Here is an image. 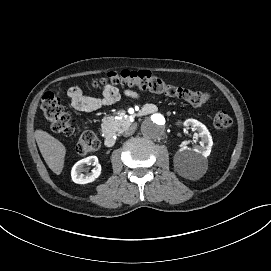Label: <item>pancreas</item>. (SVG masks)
<instances>
[{
  "label": "pancreas",
  "mask_w": 271,
  "mask_h": 271,
  "mask_svg": "<svg viewBox=\"0 0 271 271\" xmlns=\"http://www.w3.org/2000/svg\"><path fill=\"white\" fill-rule=\"evenodd\" d=\"M127 125V120L125 118H120L116 120L113 116L104 117L102 119V129L106 131L115 130L120 131L123 127Z\"/></svg>",
  "instance_id": "pancreas-1"
}]
</instances>
